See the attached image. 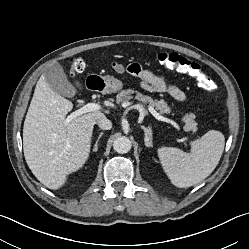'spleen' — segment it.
Returning a JSON list of instances; mask_svg holds the SVG:
<instances>
[{
    "label": "spleen",
    "mask_w": 249,
    "mask_h": 249,
    "mask_svg": "<svg viewBox=\"0 0 249 249\" xmlns=\"http://www.w3.org/2000/svg\"><path fill=\"white\" fill-rule=\"evenodd\" d=\"M224 146V135L220 131L210 130L191 143L190 153L175 147H162L157 152L171 182L177 187L186 188L201 182L213 172Z\"/></svg>",
    "instance_id": "obj_1"
}]
</instances>
